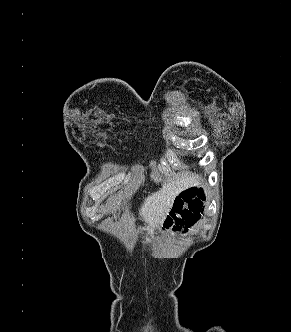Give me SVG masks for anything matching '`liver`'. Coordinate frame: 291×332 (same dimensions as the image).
<instances>
[{
    "mask_svg": "<svg viewBox=\"0 0 291 332\" xmlns=\"http://www.w3.org/2000/svg\"><path fill=\"white\" fill-rule=\"evenodd\" d=\"M200 181L199 176L184 173L164 184L158 192L145 198L139 213L148 224V233L153 232L164 222L178 194L191 186L199 185Z\"/></svg>",
    "mask_w": 291,
    "mask_h": 332,
    "instance_id": "6515ba94",
    "label": "liver"
}]
</instances>
